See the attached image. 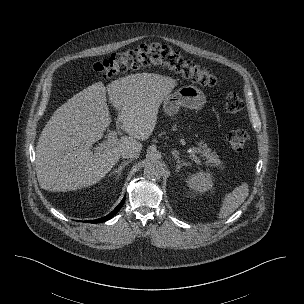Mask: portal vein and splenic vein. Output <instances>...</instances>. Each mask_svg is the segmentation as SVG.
<instances>
[{
	"label": "portal vein and splenic vein",
	"mask_w": 304,
	"mask_h": 304,
	"mask_svg": "<svg viewBox=\"0 0 304 304\" xmlns=\"http://www.w3.org/2000/svg\"><path fill=\"white\" fill-rule=\"evenodd\" d=\"M118 133H119V126L117 125V129L110 131L107 135L108 136L107 140L104 141L103 143H101L96 149L97 150H102L104 148H109V147H112V146L116 145L118 143V140H119L118 137H117ZM192 159L196 163L200 162L199 158L195 154H192Z\"/></svg>",
	"instance_id": "18ae733b"
}]
</instances>
